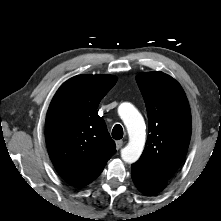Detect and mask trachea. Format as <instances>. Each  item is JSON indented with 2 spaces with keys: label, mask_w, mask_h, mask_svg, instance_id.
<instances>
[{
  "label": "trachea",
  "mask_w": 221,
  "mask_h": 221,
  "mask_svg": "<svg viewBox=\"0 0 221 221\" xmlns=\"http://www.w3.org/2000/svg\"><path fill=\"white\" fill-rule=\"evenodd\" d=\"M112 137L115 139V140H119L123 137V128L121 125L119 124H116L114 127H113V130H112Z\"/></svg>",
  "instance_id": "trachea-1"
}]
</instances>
